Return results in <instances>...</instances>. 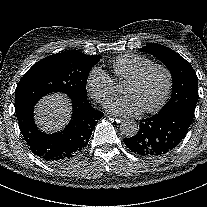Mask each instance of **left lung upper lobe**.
Segmentation results:
<instances>
[{
	"label": "left lung upper lobe",
	"instance_id": "5c2ea615",
	"mask_svg": "<svg viewBox=\"0 0 207 207\" xmlns=\"http://www.w3.org/2000/svg\"><path fill=\"white\" fill-rule=\"evenodd\" d=\"M139 50L158 58L172 75L171 98L159 113L181 110L193 117L198 100V78L192 66L178 53L163 45L151 44Z\"/></svg>",
	"mask_w": 207,
	"mask_h": 207
}]
</instances>
